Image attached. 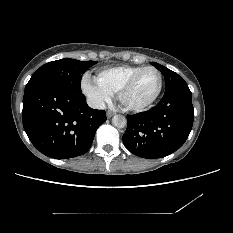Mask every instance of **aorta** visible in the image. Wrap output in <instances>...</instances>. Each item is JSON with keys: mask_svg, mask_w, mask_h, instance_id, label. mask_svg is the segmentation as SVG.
Wrapping results in <instances>:
<instances>
[{"mask_svg": "<svg viewBox=\"0 0 233 233\" xmlns=\"http://www.w3.org/2000/svg\"><path fill=\"white\" fill-rule=\"evenodd\" d=\"M112 123L117 128H124L126 126L127 120L122 115H115L112 118Z\"/></svg>", "mask_w": 233, "mask_h": 233, "instance_id": "762f6f07", "label": "aorta"}]
</instances>
